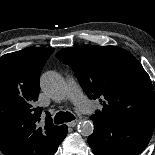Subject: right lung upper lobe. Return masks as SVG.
Segmentation results:
<instances>
[{"mask_svg": "<svg viewBox=\"0 0 155 155\" xmlns=\"http://www.w3.org/2000/svg\"><path fill=\"white\" fill-rule=\"evenodd\" d=\"M53 48L30 47L0 58V151L4 155H54L67 134L47 113L40 126V73Z\"/></svg>", "mask_w": 155, "mask_h": 155, "instance_id": "obj_1", "label": "right lung upper lobe"}]
</instances>
